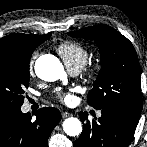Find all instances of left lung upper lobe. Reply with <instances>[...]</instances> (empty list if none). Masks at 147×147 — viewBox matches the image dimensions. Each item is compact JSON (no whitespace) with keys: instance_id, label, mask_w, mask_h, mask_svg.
I'll use <instances>...</instances> for the list:
<instances>
[{"instance_id":"1","label":"left lung upper lobe","mask_w":147,"mask_h":147,"mask_svg":"<svg viewBox=\"0 0 147 147\" xmlns=\"http://www.w3.org/2000/svg\"><path fill=\"white\" fill-rule=\"evenodd\" d=\"M68 35L93 39L100 49L101 70L88 93L89 105L96 109H117L139 119L140 65L132 43L108 25L91 26Z\"/></svg>"}]
</instances>
